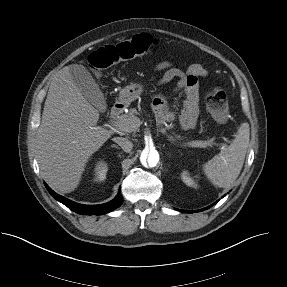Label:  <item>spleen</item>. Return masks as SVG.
I'll return each mask as SVG.
<instances>
[{"label": "spleen", "instance_id": "1", "mask_svg": "<svg viewBox=\"0 0 287 287\" xmlns=\"http://www.w3.org/2000/svg\"><path fill=\"white\" fill-rule=\"evenodd\" d=\"M250 127L247 122L240 125L235 139L211 160L203 164L206 177L220 188L230 187L238 178L249 146Z\"/></svg>", "mask_w": 287, "mask_h": 287}]
</instances>
